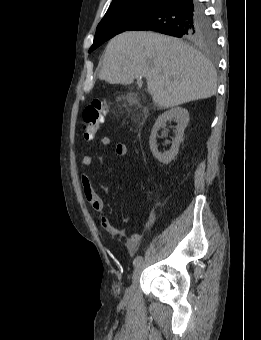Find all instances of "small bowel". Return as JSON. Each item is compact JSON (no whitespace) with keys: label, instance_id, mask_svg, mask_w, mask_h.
Segmentation results:
<instances>
[{"label":"small bowel","instance_id":"1","mask_svg":"<svg viewBox=\"0 0 261 340\" xmlns=\"http://www.w3.org/2000/svg\"><path fill=\"white\" fill-rule=\"evenodd\" d=\"M111 143V140L108 136H103L100 139V145L101 147H107ZM114 154L118 157H123L127 154V147L123 143H117L114 147ZM94 161H97L100 164L104 163L103 158L95 156L94 154L88 153L82 156L80 165L81 167L87 168L90 167ZM81 185L84 197L86 201L89 203L91 209L97 213H103L104 211V205L99 197V195L96 193V191L93 189L89 177L85 174H81ZM155 219L154 214H150L149 218L146 222V227L149 228L153 224ZM101 227L107 231L111 236L119 239H125V246L127 251L130 254L135 253L137 250L139 244L142 240V234L141 233H135L132 234L129 237H126V234L123 230H120L112 225L110 220L107 216L103 215L100 219Z\"/></svg>","mask_w":261,"mask_h":340}]
</instances>
